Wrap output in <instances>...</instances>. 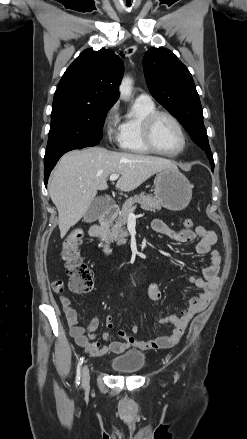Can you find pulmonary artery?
Segmentation results:
<instances>
[{"label":"pulmonary artery","mask_w":247,"mask_h":439,"mask_svg":"<svg viewBox=\"0 0 247 439\" xmlns=\"http://www.w3.org/2000/svg\"><path fill=\"white\" fill-rule=\"evenodd\" d=\"M136 100L143 101V102H151L152 101L151 97L149 95H147V94H144V93L138 95Z\"/></svg>","instance_id":"1"}]
</instances>
